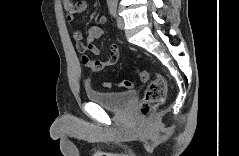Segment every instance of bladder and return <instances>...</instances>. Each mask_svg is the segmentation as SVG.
<instances>
[{"mask_svg": "<svg viewBox=\"0 0 239 156\" xmlns=\"http://www.w3.org/2000/svg\"><path fill=\"white\" fill-rule=\"evenodd\" d=\"M135 92H106L88 87L86 89V98L93 103L102 106L106 110L122 112L133 101Z\"/></svg>", "mask_w": 239, "mask_h": 156, "instance_id": "bladder-1", "label": "bladder"}]
</instances>
